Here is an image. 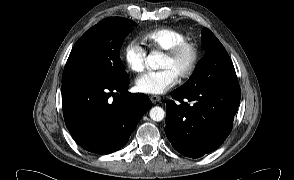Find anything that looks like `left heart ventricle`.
<instances>
[{"label":"left heart ventricle","instance_id":"obj_1","mask_svg":"<svg viewBox=\"0 0 294 180\" xmlns=\"http://www.w3.org/2000/svg\"><path fill=\"white\" fill-rule=\"evenodd\" d=\"M190 62V53L184 51L176 58H169L166 55H163L160 63L161 68L171 69L177 76L186 69Z\"/></svg>","mask_w":294,"mask_h":180}]
</instances>
